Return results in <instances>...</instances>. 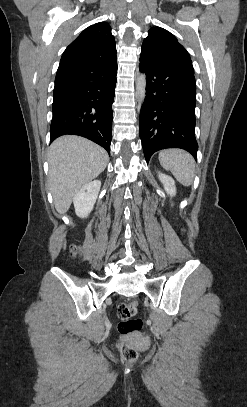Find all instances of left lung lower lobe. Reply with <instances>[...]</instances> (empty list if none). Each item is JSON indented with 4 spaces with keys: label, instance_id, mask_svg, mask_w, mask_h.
I'll return each instance as SVG.
<instances>
[{
    "label": "left lung lower lobe",
    "instance_id": "obj_1",
    "mask_svg": "<svg viewBox=\"0 0 247 407\" xmlns=\"http://www.w3.org/2000/svg\"><path fill=\"white\" fill-rule=\"evenodd\" d=\"M146 75V97L139 117V134L148 162L158 150L181 148L196 159V85L194 74L159 66L140 56Z\"/></svg>",
    "mask_w": 247,
    "mask_h": 407
}]
</instances>
